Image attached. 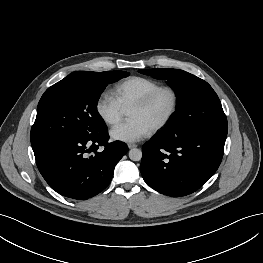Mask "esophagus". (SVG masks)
Masks as SVG:
<instances>
[{
	"instance_id": "1",
	"label": "esophagus",
	"mask_w": 263,
	"mask_h": 263,
	"mask_svg": "<svg viewBox=\"0 0 263 263\" xmlns=\"http://www.w3.org/2000/svg\"><path fill=\"white\" fill-rule=\"evenodd\" d=\"M135 147H137V144H134V143H129L128 144V148L129 149H132V148H135Z\"/></svg>"
}]
</instances>
